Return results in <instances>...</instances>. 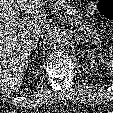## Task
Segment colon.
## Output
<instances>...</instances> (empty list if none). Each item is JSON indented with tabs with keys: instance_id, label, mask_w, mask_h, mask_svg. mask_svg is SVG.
Wrapping results in <instances>:
<instances>
[{
	"instance_id": "5ec220e1",
	"label": "colon",
	"mask_w": 113,
	"mask_h": 113,
	"mask_svg": "<svg viewBox=\"0 0 113 113\" xmlns=\"http://www.w3.org/2000/svg\"><path fill=\"white\" fill-rule=\"evenodd\" d=\"M96 9L102 18L113 23V0H98Z\"/></svg>"
}]
</instances>
